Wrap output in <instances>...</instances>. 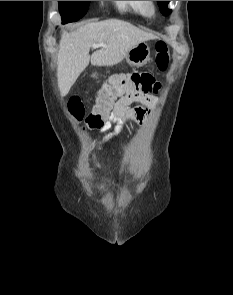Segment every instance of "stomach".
Returning <instances> with one entry per match:
<instances>
[{
    "label": "stomach",
    "instance_id": "stomach-1",
    "mask_svg": "<svg viewBox=\"0 0 233 295\" xmlns=\"http://www.w3.org/2000/svg\"><path fill=\"white\" fill-rule=\"evenodd\" d=\"M125 59L131 66L140 67L150 60V46L142 41L133 46L126 54Z\"/></svg>",
    "mask_w": 233,
    "mask_h": 295
}]
</instances>
